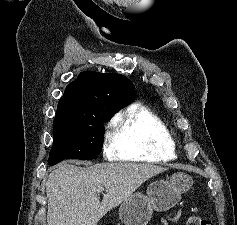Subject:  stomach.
I'll return each mask as SVG.
<instances>
[{
  "label": "stomach",
  "instance_id": "stomach-1",
  "mask_svg": "<svg viewBox=\"0 0 237 225\" xmlns=\"http://www.w3.org/2000/svg\"><path fill=\"white\" fill-rule=\"evenodd\" d=\"M192 184V178L183 172L174 173L169 180L154 181L147 187L146 195L134 193L121 204L119 217L125 225H146L153 210H169Z\"/></svg>",
  "mask_w": 237,
  "mask_h": 225
}]
</instances>
